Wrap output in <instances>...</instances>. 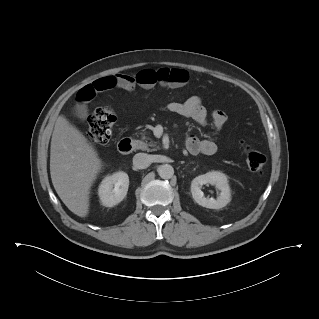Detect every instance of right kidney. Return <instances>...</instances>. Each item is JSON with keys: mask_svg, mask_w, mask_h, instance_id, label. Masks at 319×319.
<instances>
[{"mask_svg": "<svg viewBox=\"0 0 319 319\" xmlns=\"http://www.w3.org/2000/svg\"><path fill=\"white\" fill-rule=\"evenodd\" d=\"M129 187V177L119 171L106 176L98 189V195L103 206L113 207L120 203L126 196Z\"/></svg>", "mask_w": 319, "mask_h": 319, "instance_id": "ca27d5eb", "label": "right kidney"}]
</instances>
